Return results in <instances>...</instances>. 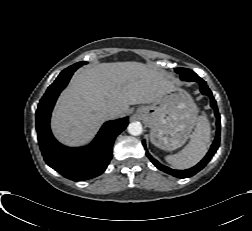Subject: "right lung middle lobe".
I'll return each instance as SVG.
<instances>
[{"label":"right lung middle lobe","instance_id":"obj_1","mask_svg":"<svg viewBox=\"0 0 252 231\" xmlns=\"http://www.w3.org/2000/svg\"><path fill=\"white\" fill-rule=\"evenodd\" d=\"M84 64H87V62H78V63H76V64H74V65H78V66L80 67V66H82V65H84Z\"/></svg>","mask_w":252,"mask_h":231}]
</instances>
